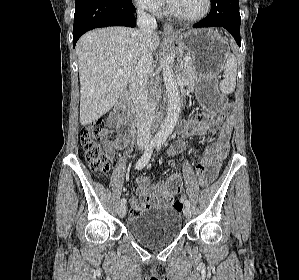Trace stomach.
I'll return each mask as SVG.
<instances>
[{"label": "stomach", "instance_id": "1", "mask_svg": "<svg viewBox=\"0 0 299 280\" xmlns=\"http://www.w3.org/2000/svg\"><path fill=\"white\" fill-rule=\"evenodd\" d=\"M176 44L192 55L199 79L196 94L208 111L221 108L223 97L217 88V75L230 55V46L214 29H190L178 32L172 38Z\"/></svg>", "mask_w": 299, "mask_h": 280}]
</instances>
